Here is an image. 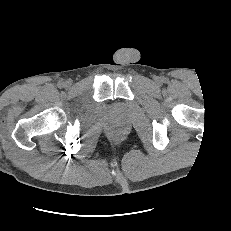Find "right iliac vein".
I'll return each mask as SVG.
<instances>
[{
  "label": "right iliac vein",
  "mask_w": 231,
  "mask_h": 231,
  "mask_svg": "<svg viewBox=\"0 0 231 231\" xmlns=\"http://www.w3.org/2000/svg\"><path fill=\"white\" fill-rule=\"evenodd\" d=\"M66 86H70L71 85V83L70 82H66V84H65Z\"/></svg>",
  "instance_id": "right-iliac-vein-1"
}]
</instances>
